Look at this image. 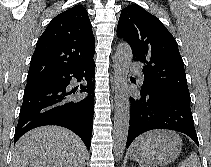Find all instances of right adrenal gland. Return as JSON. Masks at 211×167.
<instances>
[{
	"label": "right adrenal gland",
	"mask_w": 211,
	"mask_h": 167,
	"mask_svg": "<svg viewBox=\"0 0 211 167\" xmlns=\"http://www.w3.org/2000/svg\"><path fill=\"white\" fill-rule=\"evenodd\" d=\"M86 163L83 164V167H85Z\"/></svg>",
	"instance_id": "1"
}]
</instances>
